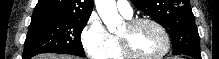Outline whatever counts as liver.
Wrapping results in <instances>:
<instances>
[{
  "label": "liver",
  "mask_w": 219,
  "mask_h": 59,
  "mask_svg": "<svg viewBox=\"0 0 219 59\" xmlns=\"http://www.w3.org/2000/svg\"><path fill=\"white\" fill-rule=\"evenodd\" d=\"M34 59H78V58L68 55L42 54L36 56Z\"/></svg>",
  "instance_id": "liver-1"
}]
</instances>
